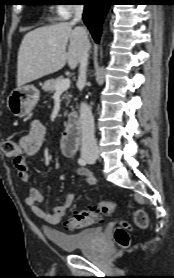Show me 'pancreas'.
I'll return each mask as SVG.
<instances>
[{"mask_svg": "<svg viewBox=\"0 0 174 278\" xmlns=\"http://www.w3.org/2000/svg\"><path fill=\"white\" fill-rule=\"evenodd\" d=\"M63 80L64 78L62 76L57 77L56 79H49L43 84L42 90L47 93H52L55 91L57 84ZM65 98L68 100L69 95H66Z\"/></svg>", "mask_w": 174, "mask_h": 278, "instance_id": "pancreas-1", "label": "pancreas"}]
</instances>
